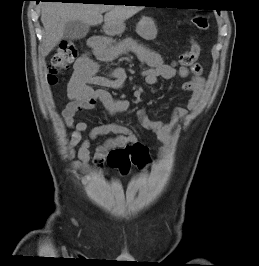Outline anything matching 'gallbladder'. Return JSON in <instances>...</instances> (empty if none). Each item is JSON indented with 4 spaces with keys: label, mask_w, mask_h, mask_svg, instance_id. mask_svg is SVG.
<instances>
[{
    "label": "gallbladder",
    "mask_w": 259,
    "mask_h": 266,
    "mask_svg": "<svg viewBox=\"0 0 259 266\" xmlns=\"http://www.w3.org/2000/svg\"><path fill=\"white\" fill-rule=\"evenodd\" d=\"M90 30V26L79 20H72L65 25L63 37L69 40H80L84 38Z\"/></svg>",
    "instance_id": "gallbladder-1"
}]
</instances>
